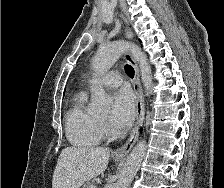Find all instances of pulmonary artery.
Instances as JSON below:
<instances>
[{"label": "pulmonary artery", "instance_id": "obj_1", "mask_svg": "<svg viewBox=\"0 0 224 188\" xmlns=\"http://www.w3.org/2000/svg\"><path fill=\"white\" fill-rule=\"evenodd\" d=\"M122 83V77L117 71H110L101 77V84L108 88H115Z\"/></svg>", "mask_w": 224, "mask_h": 188}]
</instances>
